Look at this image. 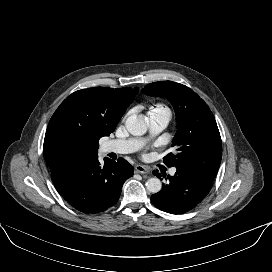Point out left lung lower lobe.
<instances>
[{
  "mask_svg": "<svg viewBox=\"0 0 272 272\" xmlns=\"http://www.w3.org/2000/svg\"><path fill=\"white\" fill-rule=\"evenodd\" d=\"M176 169L173 177L167 176L169 182L163 184L161 191L151 196V201L162 211L181 214L195 208L207 196L214 179L185 168ZM153 174L161 177L156 170Z\"/></svg>",
  "mask_w": 272,
  "mask_h": 272,
  "instance_id": "0a47b994",
  "label": "left lung lower lobe"
}]
</instances>
